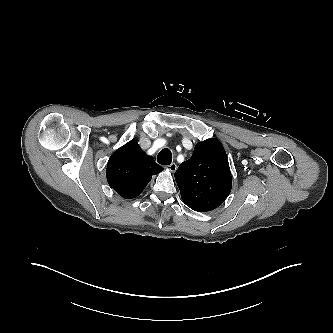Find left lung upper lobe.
Masks as SVG:
<instances>
[{
    "label": "left lung upper lobe",
    "mask_w": 333,
    "mask_h": 333,
    "mask_svg": "<svg viewBox=\"0 0 333 333\" xmlns=\"http://www.w3.org/2000/svg\"><path fill=\"white\" fill-rule=\"evenodd\" d=\"M174 176L182 200L198 212L217 208L231 192L228 158L217 139L197 143L192 157L178 167Z\"/></svg>",
    "instance_id": "5c2ea615"
}]
</instances>
